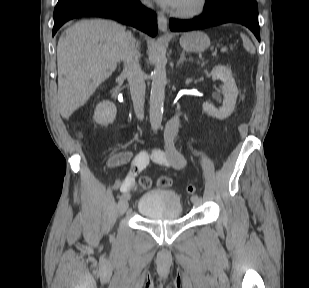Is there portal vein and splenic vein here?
<instances>
[{
    "label": "portal vein and splenic vein",
    "mask_w": 309,
    "mask_h": 288,
    "mask_svg": "<svg viewBox=\"0 0 309 288\" xmlns=\"http://www.w3.org/2000/svg\"><path fill=\"white\" fill-rule=\"evenodd\" d=\"M227 51V47H223L222 49H221V52L222 53H225Z\"/></svg>",
    "instance_id": "1"
}]
</instances>
